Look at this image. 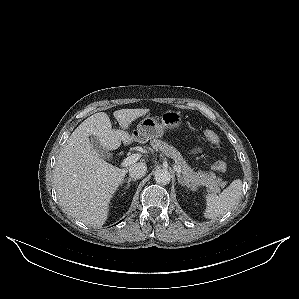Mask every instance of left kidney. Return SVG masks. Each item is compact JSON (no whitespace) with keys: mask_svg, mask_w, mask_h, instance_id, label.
<instances>
[{"mask_svg":"<svg viewBox=\"0 0 299 299\" xmlns=\"http://www.w3.org/2000/svg\"><path fill=\"white\" fill-rule=\"evenodd\" d=\"M186 185H187V187L189 188L190 185H189V184H186Z\"/></svg>","mask_w":299,"mask_h":299,"instance_id":"left-kidney-1","label":"left kidney"}]
</instances>
